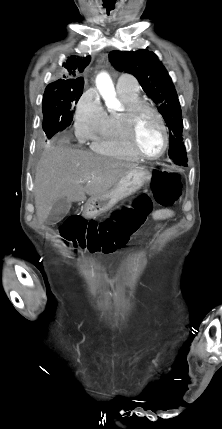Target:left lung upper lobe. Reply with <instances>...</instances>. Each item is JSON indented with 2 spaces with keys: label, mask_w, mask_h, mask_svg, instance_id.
<instances>
[{
  "label": "left lung upper lobe",
  "mask_w": 222,
  "mask_h": 429,
  "mask_svg": "<svg viewBox=\"0 0 222 429\" xmlns=\"http://www.w3.org/2000/svg\"><path fill=\"white\" fill-rule=\"evenodd\" d=\"M109 60L116 70L134 75L147 95L159 105L158 111L169 128V159L187 163L180 103L172 79L157 56L146 49L115 50L109 54Z\"/></svg>",
  "instance_id": "left-lung-upper-lobe-1"
}]
</instances>
